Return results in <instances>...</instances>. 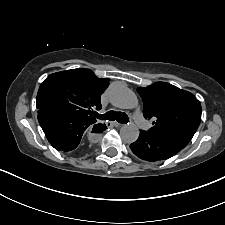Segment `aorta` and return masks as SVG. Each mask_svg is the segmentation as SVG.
Masks as SVG:
<instances>
[{
	"mask_svg": "<svg viewBox=\"0 0 225 225\" xmlns=\"http://www.w3.org/2000/svg\"><path fill=\"white\" fill-rule=\"evenodd\" d=\"M110 101L112 105L121 109H133L138 106V99L135 93L126 86H116L111 90ZM139 128L128 123L121 127L120 135L125 143H133L139 137Z\"/></svg>",
	"mask_w": 225,
	"mask_h": 225,
	"instance_id": "obj_1",
	"label": "aorta"
}]
</instances>
